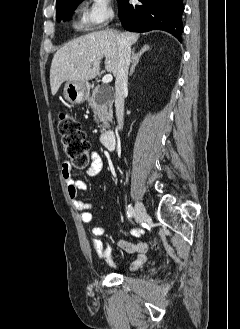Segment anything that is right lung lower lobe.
<instances>
[{
	"label": "right lung lower lobe",
	"mask_w": 240,
	"mask_h": 329,
	"mask_svg": "<svg viewBox=\"0 0 240 329\" xmlns=\"http://www.w3.org/2000/svg\"><path fill=\"white\" fill-rule=\"evenodd\" d=\"M139 1V5H130L129 0H121L119 3V18L126 30L147 32L160 29L181 41L183 0Z\"/></svg>",
	"instance_id": "1"
}]
</instances>
